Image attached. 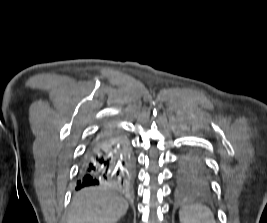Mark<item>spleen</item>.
Returning a JSON list of instances; mask_svg holds the SVG:
<instances>
[{
	"instance_id": "1",
	"label": "spleen",
	"mask_w": 267,
	"mask_h": 223,
	"mask_svg": "<svg viewBox=\"0 0 267 223\" xmlns=\"http://www.w3.org/2000/svg\"><path fill=\"white\" fill-rule=\"evenodd\" d=\"M179 219L181 223H216L211 210L201 205L184 206L179 211Z\"/></svg>"
}]
</instances>
